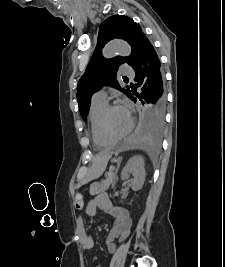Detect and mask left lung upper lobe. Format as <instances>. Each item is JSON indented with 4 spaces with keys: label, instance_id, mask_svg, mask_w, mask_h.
<instances>
[{
    "label": "left lung upper lobe",
    "instance_id": "5c2ea615",
    "mask_svg": "<svg viewBox=\"0 0 225 267\" xmlns=\"http://www.w3.org/2000/svg\"><path fill=\"white\" fill-rule=\"evenodd\" d=\"M144 36L140 26L127 16L114 15L100 25L96 48L77 86L79 110L84 121L89 112L92 95L103 85L112 82L114 87L129 96L131 89L120 87L118 81L115 80L116 72L118 66L122 63L126 62L130 66L135 63ZM113 39L127 41L132 47L131 55L129 57L117 56L112 59H105L102 56V49L106 43ZM164 114L165 111L158 108H151L149 111V127L155 135L160 134L163 128Z\"/></svg>",
    "mask_w": 225,
    "mask_h": 267
}]
</instances>
